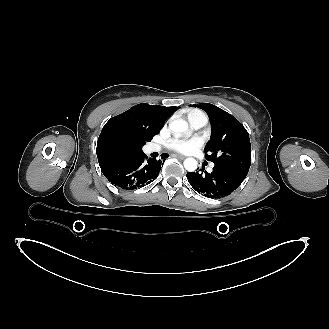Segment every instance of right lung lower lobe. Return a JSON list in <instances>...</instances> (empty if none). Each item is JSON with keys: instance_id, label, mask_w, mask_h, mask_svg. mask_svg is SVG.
Listing matches in <instances>:
<instances>
[{"instance_id": "1", "label": "right lung lower lobe", "mask_w": 329, "mask_h": 329, "mask_svg": "<svg viewBox=\"0 0 329 329\" xmlns=\"http://www.w3.org/2000/svg\"><path fill=\"white\" fill-rule=\"evenodd\" d=\"M167 157V154H162L160 160H146L145 155L139 153L126 159L102 164L100 168L114 186L133 190L151 183L159 175L161 164Z\"/></svg>"}]
</instances>
